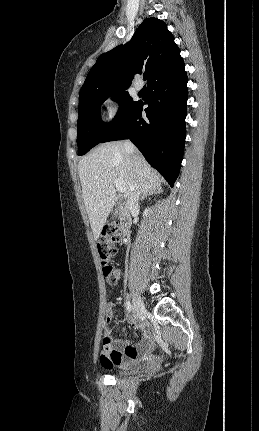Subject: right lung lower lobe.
I'll use <instances>...</instances> for the list:
<instances>
[{"instance_id": "98d812e1", "label": "right lung lower lobe", "mask_w": 259, "mask_h": 431, "mask_svg": "<svg viewBox=\"0 0 259 431\" xmlns=\"http://www.w3.org/2000/svg\"><path fill=\"white\" fill-rule=\"evenodd\" d=\"M185 64L148 84V99L137 102L128 115L103 142L130 139L148 163L170 186L178 176L185 144L186 102L188 99ZM143 104L147 118H143Z\"/></svg>"}]
</instances>
